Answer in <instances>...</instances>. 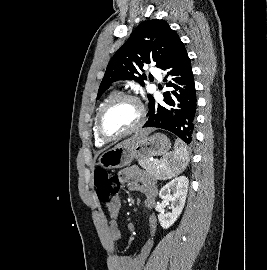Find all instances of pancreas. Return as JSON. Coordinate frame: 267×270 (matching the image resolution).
Instances as JSON below:
<instances>
[{"instance_id":"obj_1","label":"pancreas","mask_w":267,"mask_h":270,"mask_svg":"<svg viewBox=\"0 0 267 270\" xmlns=\"http://www.w3.org/2000/svg\"><path fill=\"white\" fill-rule=\"evenodd\" d=\"M139 165L155 178L160 176V170L158 168L159 161L155 162L149 159H139Z\"/></svg>"}]
</instances>
